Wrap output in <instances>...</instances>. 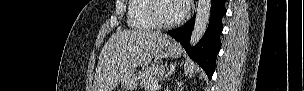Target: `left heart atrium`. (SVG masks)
<instances>
[{
    "mask_svg": "<svg viewBox=\"0 0 304 91\" xmlns=\"http://www.w3.org/2000/svg\"><path fill=\"white\" fill-rule=\"evenodd\" d=\"M179 2L181 4L182 13L187 11V9L189 7V1L188 0H180Z\"/></svg>",
    "mask_w": 304,
    "mask_h": 91,
    "instance_id": "39dd6f15",
    "label": "left heart atrium"
}]
</instances>
